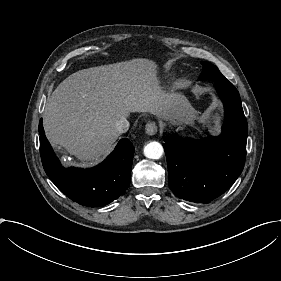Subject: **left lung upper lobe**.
<instances>
[{
    "mask_svg": "<svg viewBox=\"0 0 281 281\" xmlns=\"http://www.w3.org/2000/svg\"><path fill=\"white\" fill-rule=\"evenodd\" d=\"M201 64L203 66L201 79H211L214 82H227V79L221 74L215 65L209 62H202Z\"/></svg>",
    "mask_w": 281,
    "mask_h": 281,
    "instance_id": "1",
    "label": "left lung upper lobe"
}]
</instances>
